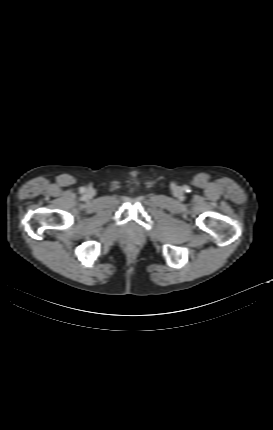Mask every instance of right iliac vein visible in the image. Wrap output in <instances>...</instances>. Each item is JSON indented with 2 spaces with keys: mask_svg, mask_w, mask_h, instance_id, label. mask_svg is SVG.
<instances>
[{
  "mask_svg": "<svg viewBox=\"0 0 273 430\" xmlns=\"http://www.w3.org/2000/svg\"><path fill=\"white\" fill-rule=\"evenodd\" d=\"M94 194H95V191L93 189H88L85 193V196L87 198H92L94 196Z\"/></svg>",
  "mask_w": 273,
  "mask_h": 430,
  "instance_id": "right-iliac-vein-1",
  "label": "right iliac vein"
}]
</instances>
